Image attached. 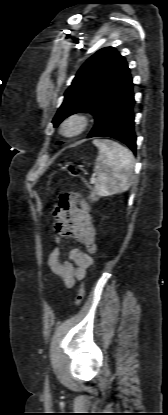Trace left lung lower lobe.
<instances>
[{"label":"left lung lower lobe","mask_w":168,"mask_h":415,"mask_svg":"<svg viewBox=\"0 0 168 415\" xmlns=\"http://www.w3.org/2000/svg\"><path fill=\"white\" fill-rule=\"evenodd\" d=\"M135 105L133 83L120 91L95 119V125L88 135L92 137H111L126 144L136 153Z\"/></svg>","instance_id":"1"}]
</instances>
